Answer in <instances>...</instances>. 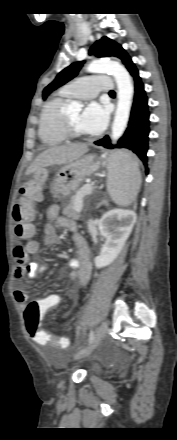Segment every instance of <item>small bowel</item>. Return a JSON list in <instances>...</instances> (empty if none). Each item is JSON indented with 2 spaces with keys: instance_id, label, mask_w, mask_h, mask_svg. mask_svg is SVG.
Returning a JSON list of instances; mask_svg holds the SVG:
<instances>
[{
  "instance_id": "small-bowel-1",
  "label": "small bowel",
  "mask_w": 177,
  "mask_h": 440,
  "mask_svg": "<svg viewBox=\"0 0 177 440\" xmlns=\"http://www.w3.org/2000/svg\"><path fill=\"white\" fill-rule=\"evenodd\" d=\"M45 217L49 221H56L57 225L63 228L74 230L76 228L75 222L64 217H59V207L57 205H50L45 211ZM34 231V229H33ZM42 244L44 246H52L59 244L61 241L60 236L56 232V228L51 223H45L42 226ZM74 243L77 248V259L69 261V266L72 270L68 274V278L71 282L78 284L79 286H85L91 275V262L90 251L85 239L81 235H74ZM30 252L36 251V245L31 244ZM19 249L15 247L14 258L17 263L15 271V277L20 280L24 277H36L48 271V266L45 264H38L36 262H27V256L21 257L18 255ZM75 293V290L72 291ZM14 298L16 302L23 308L26 307L28 295L23 289H16L14 291ZM44 298H62L61 295L51 294ZM51 347V346H48Z\"/></svg>"
}]
</instances>
